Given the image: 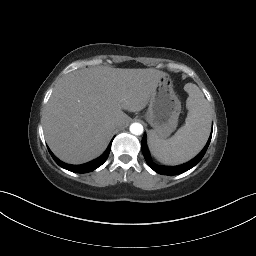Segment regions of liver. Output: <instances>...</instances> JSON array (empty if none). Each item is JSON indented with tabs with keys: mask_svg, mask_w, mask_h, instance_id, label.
<instances>
[{
	"mask_svg": "<svg viewBox=\"0 0 256 256\" xmlns=\"http://www.w3.org/2000/svg\"><path fill=\"white\" fill-rule=\"evenodd\" d=\"M162 71L98 66L79 69L55 86L42 116L45 139L62 161L82 164L101 155L112 132L141 111Z\"/></svg>",
	"mask_w": 256,
	"mask_h": 256,
	"instance_id": "6515ba94",
	"label": "liver"
}]
</instances>
